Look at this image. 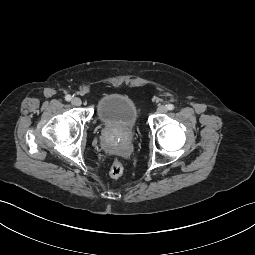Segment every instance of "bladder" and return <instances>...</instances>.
I'll use <instances>...</instances> for the list:
<instances>
[{"mask_svg":"<svg viewBox=\"0 0 255 255\" xmlns=\"http://www.w3.org/2000/svg\"><path fill=\"white\" fill-rule=\"evenodd\" d=\"M99 122L110 128L133 130L139 121V108L133 98L122 93L104 97L96 110Z\"/></svg>","mask_w":255,"mask_h":255,"instance_id":"31cf9c89","label":"bladder"}]
</instances>
